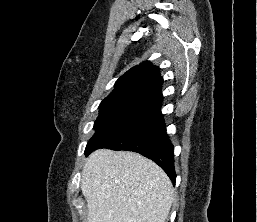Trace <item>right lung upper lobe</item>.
I'll return each mask as SVG.
<instances>
[{
	"instance_id": "1",
	"label": "right lung upper lobe",
	"mask_w": 257,
	"mask_h": 222,
	"mask_svg": "<svg viewBox=\"0 0 257 222\" xmlns=\"http://www.w3.org/2000/svg\"><path fill=\"white\" fill-rule=\"evenodd\" d=\"M162 84L159 68L146 61L122 75L116 81L115 89L103 101L143 100L161 105Z\"/></svg>"
}]
</instances>
